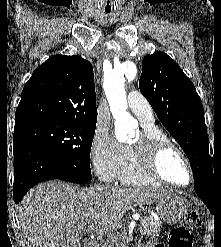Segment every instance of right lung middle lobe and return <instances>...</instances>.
Wrapping results in <instances>:
<instances>
[{
	"label": "right lung middle lobe",
	"instance_id": "dd1d6c3e",
	"mask_svg": "<svg viewBox=\"0 0 221 247\" xmlns=\"http://www.w3.org/2000/svg\"><path fill=\"white\" fill-rule=\"evenodd\" d=\"M96 124L40 123L14 129V140H26L54 152L77 168L91 172L89 157Z\"/></svg>",
	"mask_w": 221,
	"mask_h": 247
}]
</instances>
